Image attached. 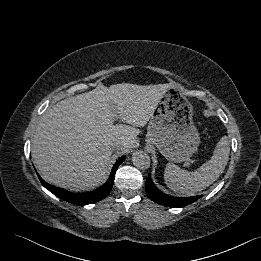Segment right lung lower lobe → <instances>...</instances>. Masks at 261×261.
I'll return each mask as SVG.
<instances>
[{
    "mask_svg": "<svg viewBox=\"0 0 261 261\" xmlns=\"http://www.w3.org/2000/svg\"><path fill=\"white\" fill-rule=\"evenodd\" d=\"M124 160H125V156H122L113 166L108 181L103 186H101L100 188L92 192L79 193V194L71 193L67 190L46 183L39 175L38 177L42 185L45 188H47L50 192H52L54 195L58 196L59 198L76 205H87L100 201L108 195V193L110 192L113 186L116 170Z\"/></svg>",
    "mask_w": 261,
    "mask_h": 261,
    "instance_id": "98d812e1",
    "label": "right lung lower lobe"
}]
</instances>
